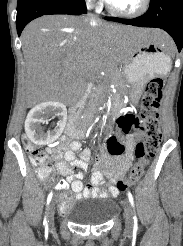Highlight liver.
<instances>
[{
  "instance_id": "liver-1",
  "label": "liver",
  "mask_w": 183,
  "mask_h": 246,
  "mask_svg": "<svg viewBox=\"0 0 183 246\" xmlns=\"http://www.w3.org/2000/svg\"><path fill=\"white\" fill-rule=\"evenodd\" d=\"M134 40L166 47L172 44L171 38L157 29L104 25L99 19L69 15L35 19L21 35L28 101L36 104L80 96L85 78L123 64Z\"/></svg>"
}]
</instances>
